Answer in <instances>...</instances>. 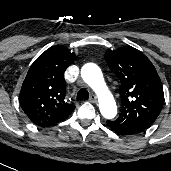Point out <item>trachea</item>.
<instances>
[{
    "instance_id": "obj_1",
    "label": "trachea",
    "mask_w": 171,
    "mask_h": 171,
    "mask_svg": "<svg viewBox=\"0 0 171 171\" xmlns=\"http://www.w3.org/2000/svg\"><path fill=\"white\" fill-rule=\"evenodd\" d=\"M88 91L86 89H81L77 93V100L88 99Z\"/></svg>"
}]
</instances>
